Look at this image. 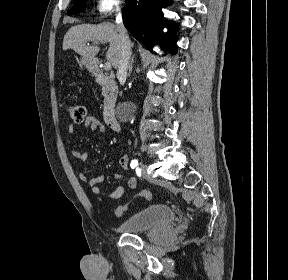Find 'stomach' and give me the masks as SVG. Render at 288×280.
<instances>
[{
	"instance_id": "obj_1",
	"label": "stomach",
	"mask_w": 288,
	"mask_h": 280,
	"mask_svg": "<svg viewBox=\"0 0 288 280\" xmlns=\"http://www.w3.org/2000/svg\"><path fill=\"white\" fill-rule=\"evenodd\" d=\"M94 62H95V59H93V58L83 57L81 59V63L87 68L91 67Z\"/></svg>"
}]
</instances>
